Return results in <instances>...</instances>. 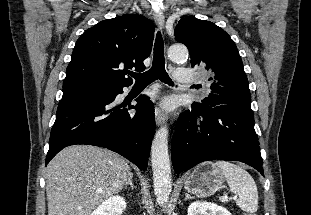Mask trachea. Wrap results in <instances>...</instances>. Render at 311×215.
I'll return each instance as SVG.
<instances>
[{"instance_id": "trachea-1", "label": "trachea", "mask_w": 311, "mask_h": 215, "mask_svg": "<svg viewBox=\"0 0 311 215\" xmlns=\"http://www.w3.org/2000/svg\"><path fill=\"white\" fill-rule=\"evenodd\" d=\"M136 81L137 85H149L155 80H160L166 84L173 85L168 73L165 70L164 43L160 32H157L154 43V56L152 67L144 73L130 74Z\"/></svg>"}]
</instances>
